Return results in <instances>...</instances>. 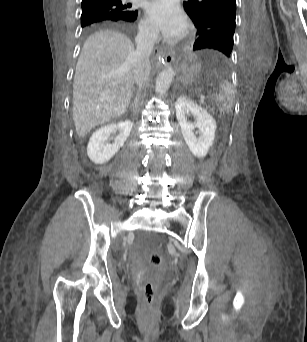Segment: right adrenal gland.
<instances>
[{
    "label": "right adrenal gland",
    "mask_w": 307,
    "mask_h": 342,
    "mask_svg": "<svg viewBox=\"0 0 307 342\" xmlns=\"http://www.w3.org/2000/svg\"><path fill=\"white\" fill-rule=\"evenodd\" d=\"M135 102H137V100H135ZM134 104H132L131 108H133Z\"/></svg>",
    "instance_id": "1"
}]
</instances>
